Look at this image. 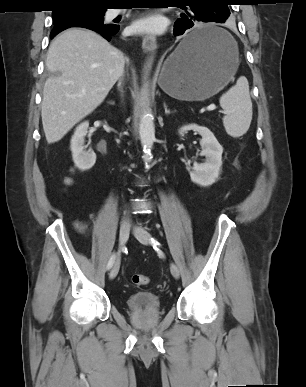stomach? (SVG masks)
<instances>
[{
    "mask_svg": "<svg viewBox=\"0 0 306 387\" xmlns=\"http://www.w3.org/2000/svg\"><path fill=\"white\" fill-rule=\"evenodd\" d=\"M216 30L222 39L197 50L185 52L183 42L165 60L159 85L169 96L187 101H203L223 89L234 77L239 66L238 47L234 39L216 25L194 28Z\"/></svg>",
    "mask_w": 306,
    "mask_h": 387,
    "instance_id": "obj_1",
    "label": "stomach"
}]
</instances>
